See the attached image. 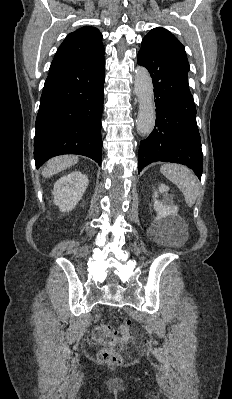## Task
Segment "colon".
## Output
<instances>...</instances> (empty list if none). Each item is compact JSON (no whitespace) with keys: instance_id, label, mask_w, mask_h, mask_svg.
I'll return each mask as SVG.
<instances>
[{"instance_id":"obj_1","label":"colon","mask_w":232,"mask_h":399,"mask_svg":"<svg viewBox=\"0 0 232 399\" xmlns=\"http://www.w3.org/2000/svg\"><path fill=\"white\" fill-rule=\"evenodd\" d=\"M128 326V323H124ZM124 326H95L92 331V341H97V347H106V351H100V358L103 364L111 365L115 361V353H122L125 346L124 337L128 331ZM118 341V346H117Z\"/></svg>"}]
</instances>
